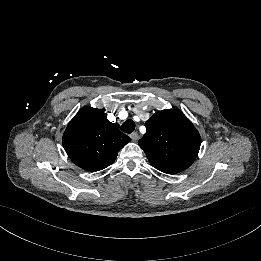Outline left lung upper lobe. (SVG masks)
Returning <instances> with one entry per match:
<instances>
[{"label":"left lung upper lobe","mask_w":261,"mask_h":261,"mask_svg":"<svg viewBox=\"0 0 261 261\" xmlns=\"http://www.w3.org/2000/svg\"><path fill=\"white\" fill-rule=\"evenodd\" d=\"M140 147L156 169L174 174L188 168L199 152L200 135L178 109L156 112L145 124Z\"/></svg>","instance_id":"5c2ea615"}]
</instances>
